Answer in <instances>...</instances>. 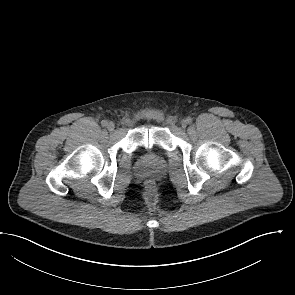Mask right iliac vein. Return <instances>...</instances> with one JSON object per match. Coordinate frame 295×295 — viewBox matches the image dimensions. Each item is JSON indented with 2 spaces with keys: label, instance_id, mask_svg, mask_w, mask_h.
<instances>
[{
  "label": "right iliac vein",
  "instance_id": "1",
  "mask_svg": "<svg viewBox=\"0 0 295 295\" xmlns=\"http://www.w3.org/2000/svg\"><path fill=\"white\" fill-rule=\"evenodd\" d=\"M114 128H115V124H114L112 121H109V122L107 123V129H108L109 131H113Z\"/></svg>",
  "mask_w": 295,
  "mask_h": 295
}]
</instances>
